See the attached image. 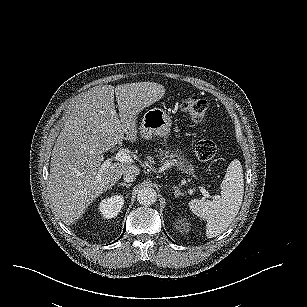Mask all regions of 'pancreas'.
I'll return each instance as SVG.
<instances>
[{
  "instance_id": "obj_1",
  "label": "pancreas",
  "mask_w": 307,
  "mask_h": 307,
  "mask_svg": "<svg viewBox=\"0 0 307 307\" xmlns=\"http://www.w3.org/2000/svg\"><path fill=\"white\" fill-rule=\"evenodd\" d=\"M158 153L162 164L169 166L175 165L174 155L170 154L169 150H159Z\"/></svg>"
}]
</instances>
